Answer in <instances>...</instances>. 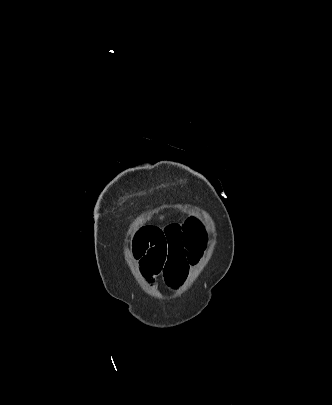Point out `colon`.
<instances>
[{
  "label": "colon",
  "instance_id": "colon-1",
  "mask_svg": "<svg viewBox=\"0 0 332 405\" xmlns=\"http://www.w3.org/2000/svg\"><path fill=\"white\" fill-rule=\"evenodd\" d=\"M186 229V254L189 262H196L198 257H203L206 247L209 220H185ZM153 287L156 285L153 284Z\"/></svg>",
  "mask_w": 332,
  "mask_h": 405
}]
</instances>
